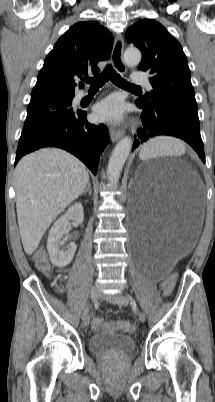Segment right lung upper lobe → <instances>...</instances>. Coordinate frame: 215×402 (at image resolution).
Masks as SVG:
<instances>
[{"mask_svg":"<svg viewBox=\"0 0 215 402\" xmlns=\"http://www.w3.org/2000/svg\"><path fill=\"white\" fill-rule=\"evenodd\" d=\"M113 47L111 33L97 21L74 24L56 42L38 74L31 100L46 97H74L75 79L93 72L106 60ZM80 87L83 84L80 83Z\"/></svg>","mask_w":215,"mask_h":402,"instance_id":"obj_1","label":"right lung upper lobe"}]
</instances>
